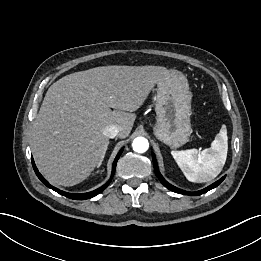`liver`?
Wrapping results in <instances>:
<instances>
[{
  "label": "liver",
  "mask_w": 261,
  "mask_h": 261,
  "mask_svg": "<svg viewBox=\"0 0 261 261\" xmlns=\"http://www.w3.org/2000/svg\"><path fill=\"white\" fill-rule=\"evenodd\" d=\"M170 74L162 66H101L53 83L32 127V152L44 177L56 186L84 181L104 158L109 125L126 138L149 93ZM113 108V110H111Z\"/></svg>",
  "instance_id": "liver-1"
}]
</instances>
